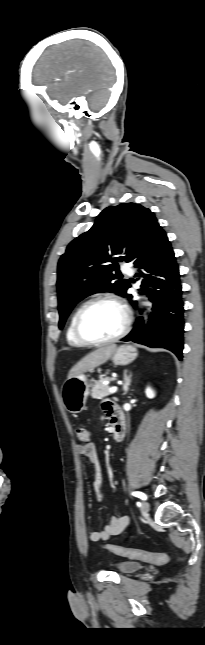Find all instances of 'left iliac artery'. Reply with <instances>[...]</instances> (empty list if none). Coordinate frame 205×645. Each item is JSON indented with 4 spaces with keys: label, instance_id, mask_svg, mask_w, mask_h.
Returning a JSON list of instances; mask_svg holds the SVG:
<instances>
[{
    "label": "left iliac artery",
    "instance_id": "44dca946",
    "mask_svg": "<svg viewBox=\"0 0 205 645\" xmlns=\"http://www.w3.org/2000/svg\"><path fill=\"white\" fill-rule=\"evenodd\" d=\"M132 495L135 496V497H138V498H140L142 500H146V498H147L146 495L144 493H142V492H132Z\"/></svg>",
    "mask_w": 205,
    "mask_h": 645
}]
</instances>
